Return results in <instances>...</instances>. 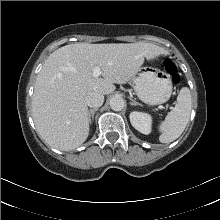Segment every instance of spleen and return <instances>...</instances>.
Returning <instances> with one entry per match:
<instances>
[{"instance_id": "3e777b00", "label": "spleen", "mask_w": 220, "mask_h": 220, "mask_svg": "<svg viewBox=\"0 0 220 220\" xmlns=\"http://www.w3.org/2000/svg\"><path fill=\"white\" fill-rule=\"evenodd\" d=\"M192 97L188 87L181 88L175 107L168 113L158 129L159 141L170 143L176 140L185 130L191 113Z\"/></svg>"}]
</instances>
